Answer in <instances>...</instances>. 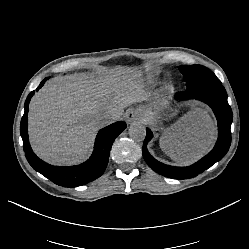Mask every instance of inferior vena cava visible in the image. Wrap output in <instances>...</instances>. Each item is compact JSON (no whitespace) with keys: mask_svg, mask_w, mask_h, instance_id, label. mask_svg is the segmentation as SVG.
I'll list each match as a JSON object with an SVG mask.
<instances>
[{"mask_svg":"<svg viewBox=\"0 0 249 249\" xmlns=\"http://www.w3.org/2000/svg\"><path fill=\"white\" fill-rule=\"evenodd\" d=\"M111 119H112L111 115L103 114V115L99 116L98 117L99 126L104 127V126L112 123Z\"/></svg>","mask_w":249,"mask_h":249,"instance_id":"1","label":"inferior vena cava"}]
</instances>
